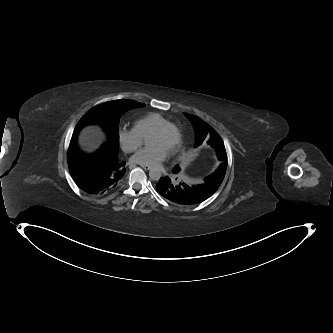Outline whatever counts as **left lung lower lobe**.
<instances>
[{"instance_id":"0a47b994","label":"left lung lower lobe","mask_w":333,"mask_h":333,"mask_svg":"<svg viewBox=\"0 0 333 333\" xmlns=\"http://www.w3.org/2000/svg\"><path fill=\"white\" fill-rule=\"evenodd\" d=\"M210 145L216 150L217 156L223 152L222 147L218 145ZM174 174L177 172L173 171ZM158 193L165 199L182 205H193L205 201L212 196L216 190L208 183L201 184L188 181H180L174 175L161 177L156 185Z\"/></svg>"}]
</instances>
